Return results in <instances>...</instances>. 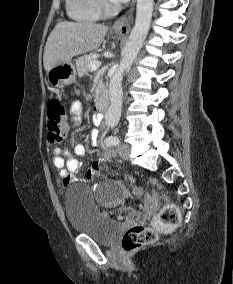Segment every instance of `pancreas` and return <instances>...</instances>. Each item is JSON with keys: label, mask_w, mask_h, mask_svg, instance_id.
Returning a JSON list of instances; mask_svg holds the SVG:
<instances>
[{"label": "pancreas", "mask_w": 233, "mask_h": 284, "mask_svg": "<svg viewBox=\"0 0 233 284\" xmlns=\"http://www.w3.org/2000/svg\"><path fill=\"white\" fill-rule=\"evenodd\" d=\"M96 60L94 55H84L76 60V68L78 71V75L80 77L86 75L88 71H91L90 61ZM103 86L102 80L99 82V87Z\"/></svg>", "instance_id": "obj_1"}]
</instances>
